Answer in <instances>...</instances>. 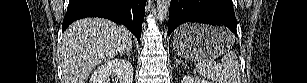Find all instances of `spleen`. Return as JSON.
Masks as SVG:
<instances>
[{"label":"spleen","mask_w":307,"mask_h":83,"mask_svg":"<svg viewBox=\"0 0 307 83\" xmlns=\"http://www.w3.org/2000/svg\"><path fill=\"white\" fill-rule=\"evenodd\" d=\"M196 71L215 83H241L239 62L233 51H228L221 64L213 59H201L195 64Z\"/></svg>","instance_id":"obj_1"}]
</instances>
